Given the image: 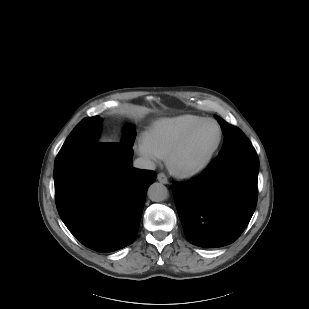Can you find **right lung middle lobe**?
<instances>
[{
    "label": "right lung middle lobe",
    "instance_id": "1",
    "mask_svg": "<svg viewBox=\"0 0 309 309\" xmlns=\"http://www.w3.org/2000/svg\"><path fill=\"white\" fill-rule=\"evenodd\" d=\"M101 118L99 116L87 117L83 119L71 132L61 150L59 151L55 166L60 165L68 157L83 149L90 143L94 142L99 135V124ZM136 132L133 126H129L125 130L122 141L129 146H133Z\"/></svg>",
    "mask_w": 309,
    "mask_h": 309
}]
</instances>
